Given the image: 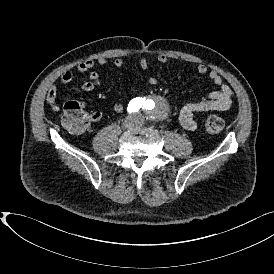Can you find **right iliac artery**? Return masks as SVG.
Returning a JSON list of instances; mask_svg holds the SVG:
<instances>
[{
  "mask_svg": "<svg viewBox=\"0 0 274 274\" xmlns=\"http://www.w3.org/2000/svg\"><path fill=\"white\" fill-rule=\"evenodd\" d=\"M142 105H143L142 98H134L128 104V112L129 113L137 112L142 107Z\"/></svg>",
  "mask_w": 274,
  "mask_h": 274,
  "instance_id": "1",
  "label": "right iliac artery"
}]
</instances>
